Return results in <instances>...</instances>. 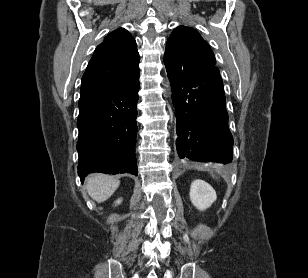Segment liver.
<instances>
[{
  "instance_id": "obj_1",
  "label": "liver",
  "mask_w": 308,
  "mask_h": 278,
  "mask_svg": "<svg viewBox=\"0 0 308 278\" xmlns=\"http://www.w3.org/2000/svg\"><path fill=\"white\" fill-rule=\"evenodd\" d=\"M120 181L105 174L91 175L86 182L88 194L98 203L106 201L119 187Z\"/></svg>"
}]
</instances>
